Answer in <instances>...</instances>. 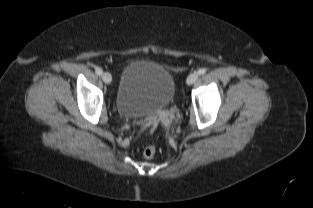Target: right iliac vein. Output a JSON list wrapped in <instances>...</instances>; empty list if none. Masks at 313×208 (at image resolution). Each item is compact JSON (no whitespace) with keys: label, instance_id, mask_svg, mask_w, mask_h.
Instances as JSON below:
<instances>
[{"label":"right iliac vein","instance_id":"1","mask_svg":"<svg viewBox=\"0 0 313 208\" xmlns=\"http://www.w3.org/2000/svg\"><path fill=\"white\" fill-rule=\"evenodd\" d=\"M102 79L106 84H110L112 81V76L109 72H104L102 74Z\"/></svg>","mask_w":313,"mask_h":208}]
</instances>
